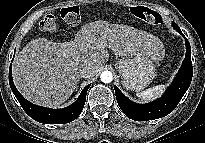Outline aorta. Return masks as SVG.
Returning <instances> with one entry per match:
<instances>
[{"instance_id": "1", "label": "aorta", "mask_w": 205, "mask_h": 143, "mask_svg": "<svg viewBox=\"0 0 205 143\" xmlns=\"http://www.w3.org/2000/svg\"><path fill=\"white\" fill-rule=\"evenodd\" d=\"M100 78L102 82L110 83L113 80V74L112 72L106 70L101 73Z\"/></svg>"}]
</instances>
